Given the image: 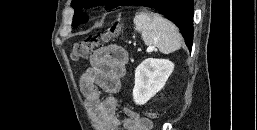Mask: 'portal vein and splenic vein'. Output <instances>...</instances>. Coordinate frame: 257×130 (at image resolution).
<instances>
[{
  "label": "portal vein and splenic vein",
  "instance_id": "obj_1",
  "mask_svg": "<svg viewBox=\"0 0 257 130\" xmlns=\"http://www.w3.org/2000/svg\"><path fill=\"white\" fill-rule=\"evenodd\" d=\"M150 51H152V48H148V49H147V52H150Z\"/></svg>",
  "mask_w": 257,
  "mask_h": 130
}]
</instances>
